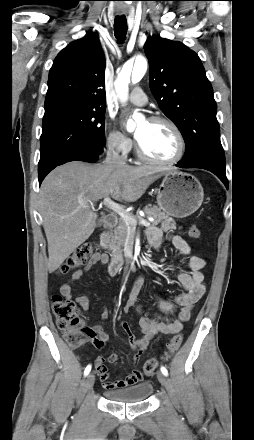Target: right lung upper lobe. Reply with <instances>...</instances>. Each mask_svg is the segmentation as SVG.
<instances>
[{"label":"right lung upper lobe","instance_id":"right-lung-upper-lobe-1","mask_svg":"<svg viewBox=\"0 0 254 440\" xmlns=\"http://www.w3.org/2000/svg\"><path fill=\"white\" fill-rule=\"evenodd\" d=\"M105 56L95 33L59 52L49 71L45 108L73 103L105 109Z\"/></svg>","mask_w":254,"mask_h":440}]
</instances>
